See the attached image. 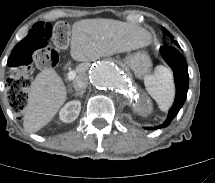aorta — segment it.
Listing matches in <instances>:
<instances>
[{
  "label": "aorta",
  "instance_id": "762f6f07",
  "mask_svg": "<svg viewBox=\"0 0 215 183\" xmlns=\"http://www.w3.org/2000/svg\"><path fill=\"white\" fill-rule=\"evenodd\" d=\"M89 80L94 87L102 91L117 92L134 100L136 98L134 86L124 80L120 69L110 62H100L89 72Z\"/></svg>",
  "mask_w": 215,
  "mask_h": 183
}]
</instances>
